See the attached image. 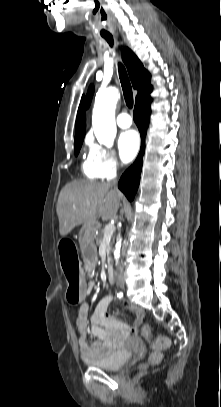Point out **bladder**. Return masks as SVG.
I'll return each instance as SVG.
<instances>
[{
    "label": "bladder",
    "instance_id": "bladder-1",
    "mask_svg": "<svg viewBox=\"0 0 221 407\" xmlns=\"http://www.w3.org/2000/svg\"><path fill=\"white\" fill-rule=\"evenodd\" d=\"M131 343L133 347L130 349L119 348L101 358L85 360V363L89 366L107 371L118 370L130 360L134 353H142L144 351V345L140 339L133 338Z\"/></svg>",
    "mask_w": 221,
    "mask_h": 407
}]
</instances>
